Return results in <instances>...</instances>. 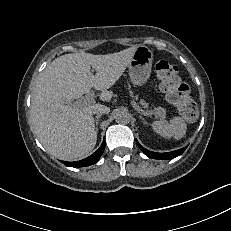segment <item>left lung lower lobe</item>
<instances>
[{
    "label": "left lung lower lobe",
    "mask_w": 231,
    "mask_h": 231,
    "mask_svg": "<svg viewBox=\"0 0 231 231\" xmlns=\"http://www.w3.org/2000/svg\"><path fill=\"white\" fill-rule=\"evenodd\" d=\"M137 144H138L139 148L145 153V155H147L148 157L153 158V159H161V160L173 159V158L181 155L186 149V147H184L182 149L172 151V152H168V153H156V152H152V151H149V150L143 148L139 144L138 141H137Z\"/></svg>",
    "instance_id": "left-lung-lower-lobe-1"
}]
</instances>
